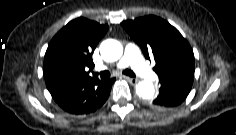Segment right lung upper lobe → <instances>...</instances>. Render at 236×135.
Listing matches in <instances>:
<instances>
[{
	"mask_svg": "<svg viewBox=\"0 0 236 135\" xmlns=\"http://www.w3.org/2000/svg\"><path fill=\"white\" fill-rule=\"evenodd\" d=\"M107 30L108 25L82 17L70 21L48 45L44 58L45 81L61 74L91 78L85 69L94 66L92 53Z\"/></svg>",
	"mask_w": 236,
	"mask_h": 135,
	"instance_id": "obj_1",
	"label": "right lung upper lobe"
}]
</instances>
